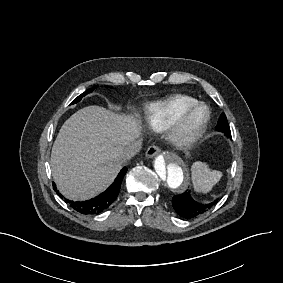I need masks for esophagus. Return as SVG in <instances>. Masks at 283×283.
Here are the masks:
<instances>
[{"mask_svg":"<svg viewBox=\"0 0 283 283\" xmlns=\"http://www.w3.org/2000/svg\"><path fill=\"white\" fill-rule=\"evenodd\" d=\"M160 153V148L153 144L151 145L150 147H148L147 151H146V157L147 158H153L154 156H156L157 154ZM167 157H170L172 159H175V160H179V157L173 153H169L167 154Z\"/></svg>","mask_w":283,"mask_h":283,"instance_id":"34e87169","label":"esophagus"}]
</instances>
